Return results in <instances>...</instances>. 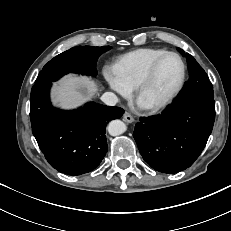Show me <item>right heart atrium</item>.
I'll return each mask as SVG.
<instances>
[{
	"label": "right heart atrium",
	"mask_w": 231,
	"mask_h": 231,
	"mask_svg": "<svg viewBox=\"0 0 231 231\" xmlns=\"http://www.w3.org/2000/svg\"><path fill=\"white\" fill-rule=\"evenodd\" d=\"M103 74L106 82L112 90L121 95H127L130 92V89L117 78L111 68H105Z\"/></svg>",
	"instance_id": "right-heart-atrium-1"
}]
</instances>
